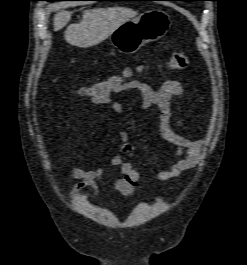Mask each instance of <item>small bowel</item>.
I'll list each match as a JSON object with an SVG mask.
<instances>
[{"label": "small bowel", "instance_id": "1", "mask_svg": "<svg viewBox=\"0 0 247 265\" xmlns=\"http://www.w3.org/2000/svg\"><path fill=\"white\" fill-rule=\"evenodd\" d=\"M132 90L140 95L142 109L157 108L163 137L176 146V155L179 157L170 168L156 172L153 178L159 181H166L178 177L184 171L193 168L199 161L204 141L185 137L179 134L171 125L172 99L173 97L184 96L186 94L185 86L177 80H167L160 87L154 88L147 82L132 80L123 83L118 93ZM106 106L116 113L123 112L122 105L113 99ZM120 134L122 140L128 142V133L125 130H121ZM72 148L74 151L80 150L81 143L73 141ZM69 163L72 177L79 181L74 186L72 194L87 188L92 191L94 197H97L100 187H106L119 192L126 198H130L144 179L142 172L135 169L122 155H115L108 162L109 166L119 168L122 174L121 177L113 179L105 177L106 169L104 165L100 164L94 168L85 169L75 166L70 160Z\"/></svg>", "mask_w": 247, "mask_h": 265}]
</instances>
